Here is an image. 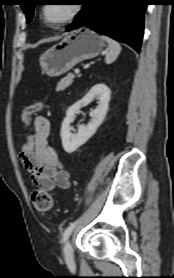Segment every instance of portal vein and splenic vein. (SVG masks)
Masks as SVG:
<instances>
[{
    "mask_svg": "<svg viewBox=\"0 0 174 278\" xmlns=\"http://www.w3.org/2000/svg\"><path fill=\"white\" fill-rule=\"evenodd\" d=\"M79 71H80L79 69H75V73H79Z\"/></svg>",
    "mask_w": 174,
    "mask_h": 278,
    "instance_id": "1",
    "label": "portal vein and splenic vein"
}]
</instances>
